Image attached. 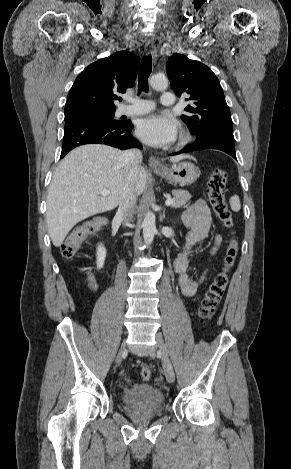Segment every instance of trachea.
<instances>
[{"label": "trachea", "instance_id": "3493384b", "mask_svg": "<svg viewBox=\"0 0 291 469\" xmlns=\"http://www.w3.org/2000/svg\"><path fill=\"white\" fill-rule=\"evenodd\" d=\"M152 71V57L151 55L144 56L140 69H139V76H138V93L140 94L142 91L148 92V78Z\"/></svg>", "mask_w": 291, "mask_h": 469}]
</instances>
